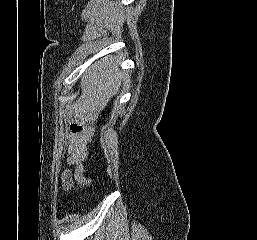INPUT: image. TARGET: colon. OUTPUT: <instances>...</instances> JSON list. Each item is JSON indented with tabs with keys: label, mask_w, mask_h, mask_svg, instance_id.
Wrapping results in <instances>:
<instances>
[{
	"label": "colon",
	"mask_w": 257,
	"mask_h": 240,
	"mask_svg": "<svg viewBox=\"0 0 257 240\" xmlns=\"http://www.w3.org/2000/svg\"><path fill=\"white\" fill-rule=\"evenodd\" d=\"M71 129H72V131L73 132H75V133H80V132H82V126L81 125H79V124H76V123H74V124H71Z\"/></svg>",
	"instance_id": "colon-1"
}]
</instances>
